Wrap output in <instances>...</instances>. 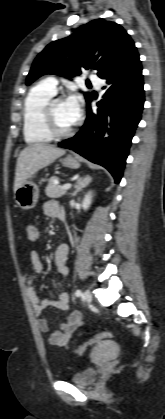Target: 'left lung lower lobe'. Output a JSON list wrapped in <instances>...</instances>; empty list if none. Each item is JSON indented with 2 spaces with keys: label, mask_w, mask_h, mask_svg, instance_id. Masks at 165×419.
<instances>
[{
  "label": "left lung lower lobe",
  "mask_w": 165,
  "mask_h": 419,
  "mask_svg": "<svg viewBox=\"0 0 165 419\" xmlns=\"http://www.w3.org/2000/svg\"><path fill=\"white\" fill-rule=\"evenodd\" d=\"M102 79L106 80L105 94L97 103L98 109L91 110L90 99L85 124L59 146L104 166L119 183L144 104L142 67L136 48Z\"/></svg>",
  "instance_id": "1"
}]
</instances>
